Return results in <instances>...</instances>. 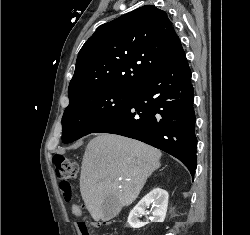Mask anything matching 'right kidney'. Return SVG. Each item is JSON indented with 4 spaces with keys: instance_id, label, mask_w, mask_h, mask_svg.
<instances>
[{
    "instance_id": "obj_1",
    "label": "right kidney",
    "mask_w": 250,
    "mask_h": 235,
    "mask_svg": "<svg viewBox=\"0 0 250 235\" xmlns=\"http://www.w3.org/2000/svg\"><path fill=\"white\" fill-rule=\"evenodd\" d=\"M168 192L161 188H154L146 196H144L138 204L131 210L128 216L129 225L138 229L146 225L145 222H140L139 218L146 213V208L152 204L154 208L152 212V221L153 222H163L167 212L168 206Z\"/></svg>"
}]
</instances>
